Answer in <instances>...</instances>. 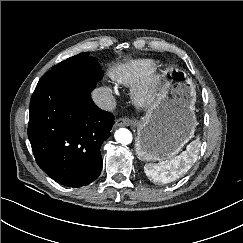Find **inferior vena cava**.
I'll use <instances>...</instances> for the list:
<instances>
[{"label": "inferior vena cava", "instance_id": "inferior-vena-cava-1", "mask_svg": "<svg viewBox=\"0 0 243 243\" xmlns=\"http://www.w3.org/2000/svg\"><path fill=\"white\" fill-rule=\"evenodd\" d=\"M92 99L95 105L102 110L111 111L116 106L114 97L102 88H97L92 92Z\"/></svg>", "mask_w": 243, "mask_h": 243}]
</instances>
